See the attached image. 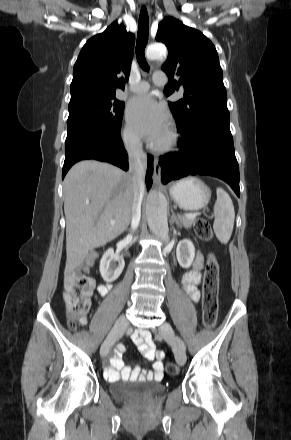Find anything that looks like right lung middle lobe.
Segmentation results:
<instances>
[{
	"label": "right lung middle lobe",
	"instance_id": "1",
	"mask_svg": "<svg viewBox=\"0 0 291 440\" xmlns=\"http://www.w3.org/2000/svg\"><path fill=\"white\" fill-rule=\"evenodd\" d=\"M124 102L116 97H83L69 103L67 125H91L102 129L121 125Z\"/></svg>",
	"mask_w": 291,
	"mask_h": 440
}]
</instances>
